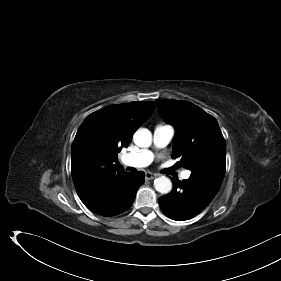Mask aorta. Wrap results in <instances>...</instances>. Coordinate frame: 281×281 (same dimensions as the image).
Segmentation results:
<instances>
[{
	"instance_id": "1",
	"label": "aorta",
	"mask_w": 281,
	"mask_h": 281,
	"mask_svg": "<svg viewBox=\"0 0 281 281\" xmlns=\"http://www.w3.org/2000/svg\"><path fill=\"white\" fill-rule=\"evenodd\" d=\"M133 140L137 146L147 148L152 143V133L146 128L138 129L134 133ZM154 188L161 194H167L172 190V182L169 178L161 176L154 180Z\"/></svg>"
}]
</instances>
